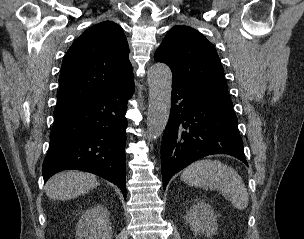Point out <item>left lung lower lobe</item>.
I'll return each instance as SVG.
<instances>
[{"instance_id":"obj_1","label":"left lung lower lobe","mask_w":304,"mask_h":239,"mask_svg":"<svg viewBox=\"0 0 304 239\" xmlns=\"http://www.w3.org/2000/svg\"><path fill=\"white\" fill-rule=\"evenodd\" d=\"M172 107L161 144L164 190L170 178L211 154H228L248 165L232 105L172 84Z\"/></svg>"}]
</instances>
